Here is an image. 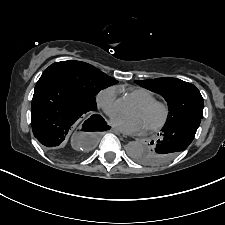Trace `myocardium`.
Returning a JSON list of instances; mask_svg holds the SVG:
<instances>
[{"label":"myocardium","instance_id":"obj_1","mask_svg":"<svg viewBox=\"0 0 225 225\" xmlns=\"http://www.w3.org/2000/svg\"><path fill=\"white\" fill-rule=\"evenodd\" d=\"M138 105L145 110H149L154 107H158L162 110L161 119L156 124L149 126V130L158 131L162 129L168 122L170 117V108L166 102L154 99L148 102L138 103Z\"/></svg>","mask_w":225,"mask_h":225}]
</instances>
